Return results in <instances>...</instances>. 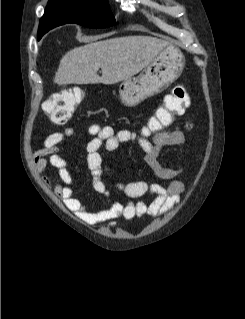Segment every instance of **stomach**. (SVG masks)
Returning <instances> with one entry per match:
<instances>
[{"label":"stomach","instance_id":"0dacf381","mask_svg":"<svg viewBox=\"0 0 245 319\" xmlns=\"http://www.w3.org/2000/svg\"><path fill=\"white\" fill-rule=\"evenodd\" d=\"M185 57L175 46H167L136 77L124 80L119 87L122 103L135 107L145 99L164 91L181 75Z\"/></svg>","mask_w":245,"mask_h":319}]
</instances>
